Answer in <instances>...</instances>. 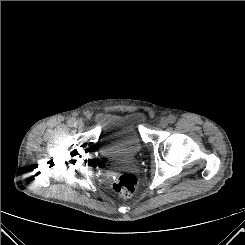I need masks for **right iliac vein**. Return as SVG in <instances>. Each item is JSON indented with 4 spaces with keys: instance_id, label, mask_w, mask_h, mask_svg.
Masks as SVG:
<instances>
[{
    "instance_id": "obj_1",
    "label": "right iliac vein",
    "mask_w": 245,
    "mask_h": 245,
    "mask_svg": "<svg viewBox=\"0 0 245 245\" xmlns=\"http://www.w3.org/2000/svg\"><path fill=\"white\" fill-rule=\"evenodd\" d=\"M83 122L82 121H77V123H76V127H78V128H82L83 127Z\"/></svg>"
}]
</instances>
